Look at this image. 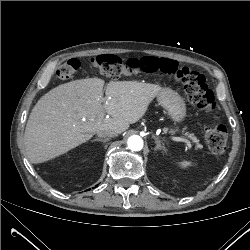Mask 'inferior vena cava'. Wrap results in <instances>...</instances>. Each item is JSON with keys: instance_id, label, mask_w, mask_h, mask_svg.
I'll use <instances>...</instances> for the list:
<instances>
[{"instance_id": "602c4592", "label": "inferior vena cava", "mask_w": 250, "mask_h": 250, "mask_svg": "<svg viewBox=\"0 0 250 250\" xmlns=\"http://www.w3.org/2000/svg\"><path fill=\"white\" fill-rule=\"evenodd\" d=\"M98 137H116L118 132L116 130L101 129L97 132Z\"/></svg>"}]
</instances>
